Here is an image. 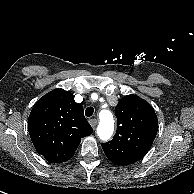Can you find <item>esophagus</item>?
I'll list each match as a JSON object with an SVG mask.
<instances>
[{"label": "esophagus", "mask_w": 194, "mask_h": 194, "mask_svg": "<svg viewBox=\"0 0 194 194\" xmlns=\"http://www.w3.org/2000/svg\"><path fill=\"white\" fill-rule=\"evenodd\" d=\"M89 123H90V125H91L93 128H95L96 125H97V123H98V121H97V119L93 118V119H90V120H89Z\"/></svg>", "instance_id": "esophagus-1"}]
</instances>
